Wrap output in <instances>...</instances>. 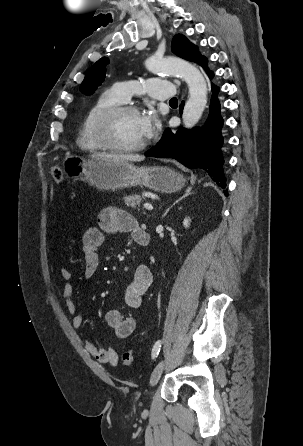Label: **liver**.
Returning a JSON list of instances; mask_svg holds the SVG:
<instances>
[{"instance_id":"1","label":"liver","mask_w":303,"mask_h":446,"mask_svg":"<svg viewBox=\"0 0 303 446\" xmlns=\"http://www.w3.org/2000/svg\"><path fill=\"white\" fill-rule=\"evenodd\" d=\"M93 158L102 159L106 161L120 162V161H143L144 157L140 155H124V154H106L96 153L92 155Z\"/></svg>"}]
</instances>
